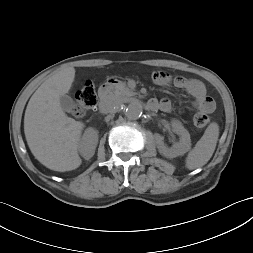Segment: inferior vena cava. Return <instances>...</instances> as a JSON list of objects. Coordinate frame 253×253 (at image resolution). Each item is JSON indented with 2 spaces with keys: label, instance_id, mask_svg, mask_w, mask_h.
Masks as SVG:
<instances>
[{
  "label": "inferior vena cava",
  "instance_id": "inferior-vena-cava-1",
  "mask_svg": "<svg viewBox=\"0 0 253 253\" xmlns=\"http://www.w3.org/2000/svg\"><path fill=\"white\" fill-rule=\"evenodd\" d=\"M121 101L115 97H108L100 101L99 110L101 113H115L120 107Z\"/></svg>",
  "mask_w": 253,
  "mask_h": 253
}]
</instances>
